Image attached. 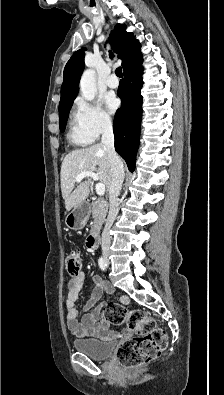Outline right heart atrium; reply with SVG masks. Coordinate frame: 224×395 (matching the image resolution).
<instances>
[{"mask_svg": "<svg viewBox=\"0 0 224 395\" xmlns=\"http://www.w3.org/2000/svg\"><path fill=\"white\" fill-rule=\"evenodd\" d=\"M73 116L79 130L90 139H98L112 129L113 122L100 104L77 99L74 104Z\"/></svg>", "mask_w": 224, "mask_h": 395, "instance_id": "d8ad5b80", "label": "right heart atrium"}]
</instances>
